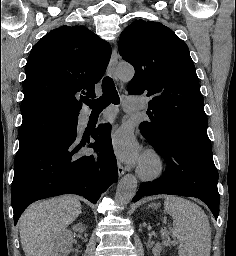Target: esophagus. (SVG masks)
<instances>
[{
  "mask_svg": "<svg viewBox=\"0 0 236 256\" xmlns=\"http://www.w3.org/2000/svg\"><path fill=\"white\" fill-rule=\"evenodd\" d=\"M117 62H118L117 51H116V49H113L111 59L109 62V66H108V72H109L110 76H112V78H114L116 81H118L116 72H115ZM117 168H118L119 176H122L125 173L124 167L122 166L121 163H118Z\"/></svg>",
  "mask_w": 236,
  "mask_h": 256,
  "instance_id": "34e87169",
  "label": "esophagus"
}]
</instances>
